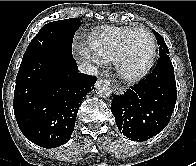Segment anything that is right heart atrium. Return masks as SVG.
Instances as JSON below:
<instances>
[{
  "mask_svg": "<svg viewBox=\"0 0 196 166\" xmlns=\"http://www.w3.org/2000/svg\"><path fill=\"white\" fill-rule=\"evenodd\" d=\"M74 49L81 58H83L89 62H92L96 65H100V64L104 63L99 58H97L95 55H93V53L90 51L88 46H86L82 43H76L74 46Z\"/></svg>",
  "mask_w": 196,
  "mask_h": 166,
  "instance_id": "obj_1",
  "label": "right heart atrium"
}]
</instances>
